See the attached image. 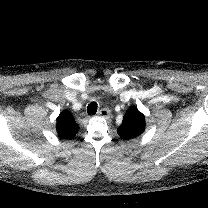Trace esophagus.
I'll use <instances>...</instances> for the list:
<instances>
[{
  "label": "esophagus",
  "mask_w": 208,
  "mask_h": 208,
  "mask_svg": "<svg viewBox=\"0 0 208 208\" xmlns=\"http://www.w3.org/2000/svg\"><path fill=\"white\" fill-rule=\"evenodd\" d=\"M109 115H110V110L108 108H103L100 111H98V116L108 117Z\"/></svg>",
  "instance_id": "obj_1"
}]
</instances>
